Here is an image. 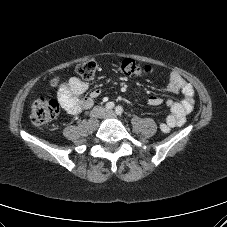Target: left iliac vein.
Wrapping results in <instances>:
<instances>
[{
	"instance_id": "4c4485c4",
	"label": "left iliac vein",
	"mask_w": 227,
	"mask_h": 227,
	"mask_svg": "<svg viewBox=\"0 0 227 227\" xmlns=\"http://www.w3.org/2000/svg\"><path fill=\"white\" fill-rule=\"evenodd\" d=\"M106 116L109 117V118H114V117H115V114H114L113 111H108V112L106 113Z\"/></svg>"
}]
</instances>
